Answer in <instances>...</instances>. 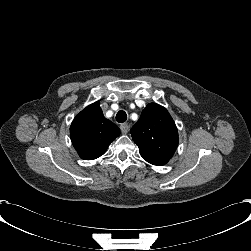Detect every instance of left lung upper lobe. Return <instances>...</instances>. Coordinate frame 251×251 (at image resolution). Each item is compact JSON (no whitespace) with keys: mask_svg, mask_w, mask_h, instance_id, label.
<instances>
[{"mask_svg":"<svg viewBox=\"0 0 251 251\" xmlns=\"http://www.w3.org/2000/svg\"><path fill=\"white\" fill-rule=\"evenodd\" d=\"M143 159L153 165L166 164L178 146L174 120L163 106L150 103L130 131Z\"/></svg>","mask_w":251,"mask_h":251,"instance_id":"left-lung-upper-lobe-1","label":"left lung upper lobe"}]
</instances>
